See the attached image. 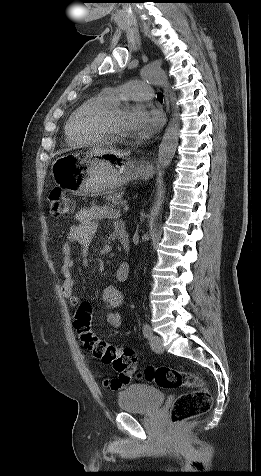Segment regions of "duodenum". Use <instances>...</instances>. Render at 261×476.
<instances>
[{
  "label": "duodenum",
  "instance_id": "1",
  "mask_svg": "<svg viewBox=\"0 0 261 476\" xmlns=\"http://www.w3.org/2000/svg\"><path fill=\"white\" fill-rule=\"evenodd\" d=\"M117 238H118L122 248L125 251H128L129 248H130V240H129L128 233L123 228H119L117 230Z\"/></svg>",
  "mask_w": 261,
  "mask_h": 476
}]
</instances>
